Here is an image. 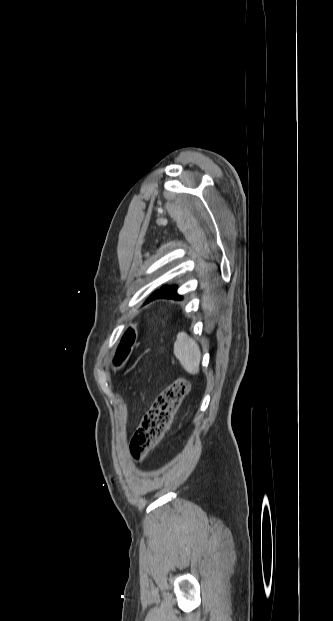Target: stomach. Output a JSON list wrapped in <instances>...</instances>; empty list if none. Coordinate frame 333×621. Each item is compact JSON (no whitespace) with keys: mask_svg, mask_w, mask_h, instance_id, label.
Listing matches in <instances>:
<instances>
[{"mask_svg":"<svg viewBox=\"0 0 333 621\" xmlns=\"http://www.w3.org/2000/svg\"><path fill=\"white\" fill-rule=\"evenodd\" d=\"M124 339L117 343V351L113 354V361L117 365H124L128 361V353L132 350L134 341L133 331L129 330Z\"/></svg>","mask_w":333,"mask_h":621,"instance_id":"stomach-1","label":"stomach"}]
</instances>
